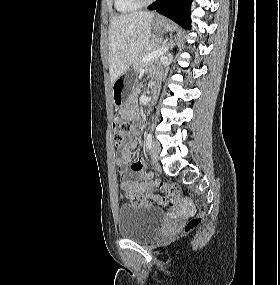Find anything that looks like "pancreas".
Listing matches in <instances>:
<instances>
[{
    "instance_id": "obj_1",
    "label": "pancreas",
    "mask_w": 280,
    "mask_h": 285,
    "mask_svg": "<svg viewBox=\"0 0 280 285\" xmlns=\"http://www.w3.org/2000/svg\"><path fill=\"white\" fill-rule=\"evenodd\" d=\"M162 40L161 39H156L152 41L150 44H148L138 55V57L134 60L133 63V68L135 71L139 72L142 67L144 66V63L142 62V59L145 55L155 51L160 47Z\"/></svg>"
}]
</instances>
